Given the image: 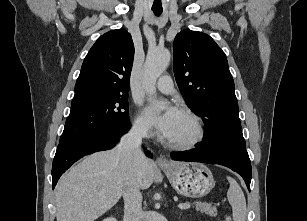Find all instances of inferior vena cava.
<instances>
[{"label":"inferior vena cava","instance_id":"602c4592","mask_svg":"<svg viewBox=\"0 0 307 221\" xmlns=\"http://www.w3.org/2000/svg\"><path fill=\"white\" fill-rule=\"evenodd\" d=\"M146 136L147 129L144 126L135 125L121 138L117 146L129 166L128 179L123 188L124 221H141L142 218V194L132 179L133 167H141L147 162V158L141 150L142 139Z\"/></svg>","mask_w":307,"mask_h":221}]
</instances>
